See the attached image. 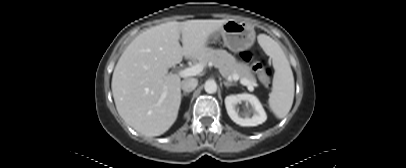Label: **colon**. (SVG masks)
<instances>
[{
  "mask_svg": "<svg viewBox=\"0 0 406 168\" xmlns=\"http://www.w3.org/2000/svg\"><path fill=\"white\" fill-rule=\"evenodd\" d=\"M241 55L246 61L252 62L253 68L258 73L261 82L264 85H269L272 73L271 70L266 67L265 62L257 58L256 54L251 50H245Z\"/></svg>",
  "mask_w": 406,
  "mask_h": 168,
  "instance_id": "1",
  "label": "colon"
}]
</instances>
